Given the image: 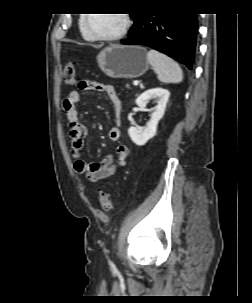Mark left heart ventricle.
<instances>
[{"instance_id": "obj_1", "label": "left heart ventricle", "mask_w": 252, "mask_h": 303, "mask_svg": "<svg viewBox=\"0 0 252 303\" xmlns=\"http://www.w3.org/2000/svg\"><path fill=\"white\" fill-rule=\"evenodd\" d=\"M87 22V29L92 34H112L123 26L121 14H91Z\"/></svg>"}]
</instances>
